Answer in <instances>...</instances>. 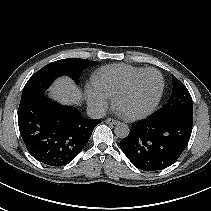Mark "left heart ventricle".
<instances>
[{"label":"left heart ventricle","instance_id":"1","mask_svg":"<svg viewBox=\"0 0 211 211\" xmlns=\"http://www.w3.org/2000/svg\"><path fill=\"white\" fill-rule=\"evenodd\" d=\"M161 88V77L156 72L145 74L134 89L119 102V109L126 113H137L149 108Z\"/></svg>","mask_w":211,"mask_h":211}]
</instances>
